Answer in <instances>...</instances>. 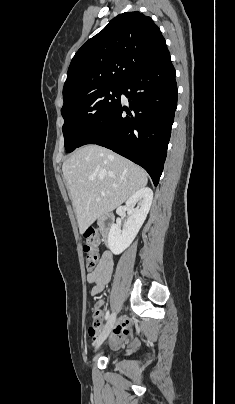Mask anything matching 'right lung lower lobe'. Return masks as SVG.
Listing matches in <instances>:
<instances>
[{
    "instance_id": "obj_1",
    "label": "right lung lower lobe",
    "mask_w": 235,
    "mask_h": 404,
    "mask_svg": "<svg viewBox=\"0 0 235 404\" xmlns=\"http://www.w3.org/2000/svg\"><path fill=\"white\" fill-rule=\"evenodd\" d=\"M121 101L82 141L97 144L142 166L157 186L167 155L177 106L175 69L170 55L122 84ZM79 146V147H80Z\"/></svg>"
}]
</instances>
